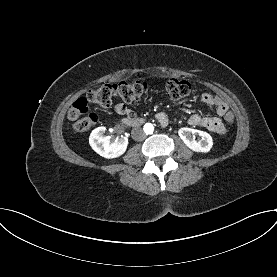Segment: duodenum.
I'll use <instances>...</instances> for the list:
<instances>
[{"instance_id": "obj_1", "label": "duodenum", "mask_w": 277, "mask_h": 277, "mask_svg": "<svg viewBox=\"0 0 277 277\" xmlns=\"http://www.w3.org/2000/svg\"><path fill=\"white\" fill-rule=\"evenodd\" d=\"M144 122L141 118L126 117L122 120V123L126 126L136 127Z\"/></svg>"}]
</instances>
